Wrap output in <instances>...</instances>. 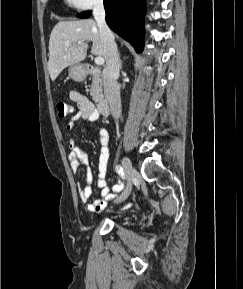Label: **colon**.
Listing matches in <instances>:
<instances>
[{
  "label": "colon",
  "instance_id": "obj_1",
  "mask_svg": "<svg viewBox=\"0 0 243 289\" xmlns=\"http://www.w3.org/2000/svg\"><path fill=\"white\" fill-rule=\"evenodd\" d=\"M73 107L67 102H59L57 104V112L60 118H66L73 112Z\"/></svg>",
  "mask_w": 243,
  "mask_h": 289
}]
</instances>
